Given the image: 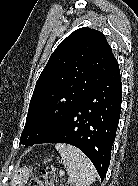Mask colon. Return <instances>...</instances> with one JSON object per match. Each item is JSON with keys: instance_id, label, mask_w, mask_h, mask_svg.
I'll return each mask as SVG.
<instances>
[{"instance_id": "colon-1", "label": "colon", "mask_w": 138, "mask_h": 186, "mask_svg": "<svg viewBox=\"0 0 138 186\" xmlns=\"http://www.w3.org/2000/svg\"><path fill=\"white\" fill-rule=\"evenodd\" d=\"M29 186H67V183L61 176L53 172L40 170L30 181Z\"/></svg>"}]
</instances>
